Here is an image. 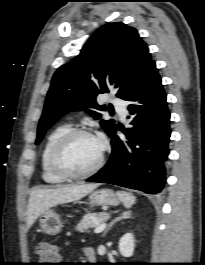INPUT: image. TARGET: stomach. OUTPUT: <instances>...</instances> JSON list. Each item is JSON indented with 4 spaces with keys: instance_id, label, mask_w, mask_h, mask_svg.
<instances>
[{
    "instance_id": "obj_1",
    "label": "stomach",
    "mask_w": 205,
    "mask_h": 265,
    "mask_svg": "<svg viewBox=\"0 0 205 265\" xmlns=\"http://www.w3.org/2000/svg\"><path fill=\"white\" fill-rule=\"evenodd\" d=\"M90 204L93 206L107 205L117 206L120 202L119 197L110 189H100L90 193ZM40 226L49 235L60 233L63 224L59 215L54 210H47L41 214Z\"/></svg>"
}]
</instances>
